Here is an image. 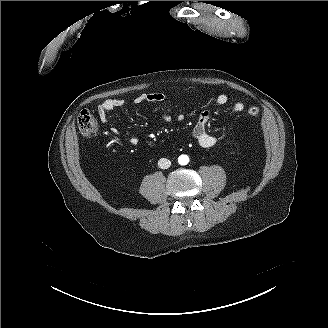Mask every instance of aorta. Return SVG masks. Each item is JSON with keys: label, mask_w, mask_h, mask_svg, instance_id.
Returning a JSON list of instances; mask_svg holds the SVG:
<instances>
[{"label": "aorta", "mask_w": 328, "mask_h": 328, "mask_svg": "<svg viewBox=\"0 0 328 328\" xmlns=\"http://www.w3.org/2000/svg\"><path fill=\"white\" fill-rule=\"evenodd\" d=\"M178 163L180 165H187L189 163V157L187 155H180L178 158Z\"/></svg>", "instance_id": "obj_1"}]
</instances>
